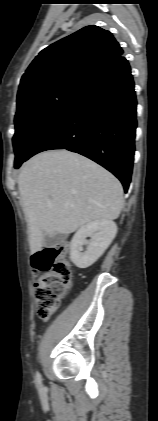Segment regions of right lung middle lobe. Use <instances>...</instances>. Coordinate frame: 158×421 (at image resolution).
<instances>
[{"label":"right lung middle lobe","mask_w":158,"mask_h":421,"mask_svg":"<svg viewBox=\"0 0 158 421\" xmlns=\"http://www.w3.org/2000/svg\"><path fill=\"white\" fill-rule=\"evenodd\" d=\"M83 86L82 84L56 85L17 101L13 137L15 168H19L27 160L36 141L61 115Z\"/></svg>","instance_id":"1"}]
</instances>
